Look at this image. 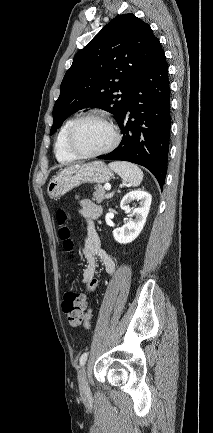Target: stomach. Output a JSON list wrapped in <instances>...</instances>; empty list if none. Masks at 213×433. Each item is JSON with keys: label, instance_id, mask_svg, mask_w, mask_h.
I'll return each mask as SVG.
<instances>
[{"label": "stomach", "instance_id": "obj_1", "mask_svg": "<svg viewBox=\"0 0 213 433\" xmlns=\"http://www.w3.org/2000/svg\"><path fill=\"white\" fill-rule=\"evenodd\" d=\"M113 173L101 161H94L84 165H74L61 171L50 180L47 192L50 198H58L83 183L108 182Z\"/></svg>", "mask_w": 213, "mask_h": 433}]
</instances>
